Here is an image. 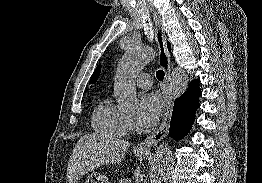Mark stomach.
<instances>
[{
    "mask_svg": "<svg viewBox=\"0 0 262 183\" xmlns=\"http://www.w3.org/2000/svg\"><path fill=\"white\" fill-rule=\"evenodd\" d=\"M139 156H147L148 155V152H140L138 153ZM85 183H110L108 178L101 174V173H98L96 171H92L88 176H87V179H86V182Z\"/></svg>",
    "mask_w": 262,
    "mask_h": 183,
    "instance_id": "0dacf381",
    "label": "stomach"
}]
</instances>
